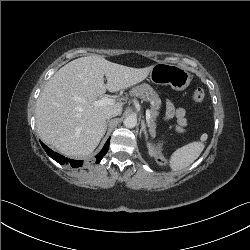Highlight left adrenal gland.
Segmentation results:
<instances>
[{
    "mask_svg": "<svg viewBox=\"0 0 250 250\" xmlns=\"http://www.w3.org/2000/svg\"><path fill=\"white\" fill-rule=\"evenodd\" d=\"M142 132H143L145 135L147 134L146 124H145L144 120L141 121L140 135L142 134Z\"/></svg>",
    "mask_w": 250,
    "mask_h": 250,
    "instance_id": "a2214340",
    "label": "left adrenal gland"
}]
</instances>
